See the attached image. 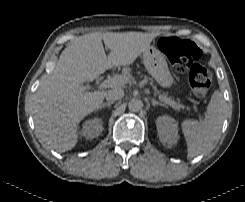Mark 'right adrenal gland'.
<instances>
[{
	"instance_id": "2a0ac1e0",
	"label": "right adrenal gland",
	"mask_w": 245,
	"mask_h": 202,
	"mask_svg": "<svg viewBox=\"0 0 245 202\" xmlns=\"http://www.w3.org/2000/svg\"><path fill=\"white\" fill-rule=\"evenodd\" d=\"M112 104H113V102H111V101H108V102H106V103H103V104H101V105L99 106L98 110H101V109H103L104 107H108V108H109Z\"/></svg>"
}]
</instances>
